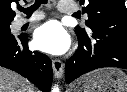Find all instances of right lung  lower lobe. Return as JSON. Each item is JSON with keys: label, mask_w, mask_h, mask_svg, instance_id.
Wrapping results in <instances>:
<instances>
[{"label": "right lung lower lobe", "mask_w": 127, "mask_h": 92, "mask_svg": "<svg viewBox=\"0 0 127 92\" xmlns=\"http://www.w3.org/2000/svg\"><path fill=\"white\" fill-rule=\"evenodd\" d=\"M0 66L28 78L43 92H49L53 78L51 60L28 49L27 35L0 37Z\"/></svg>", "instance_id": "1"}]
</instances>
